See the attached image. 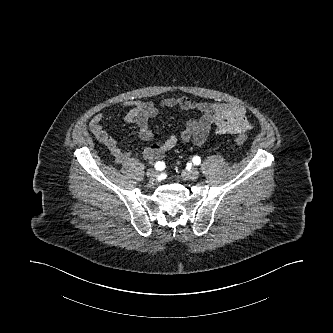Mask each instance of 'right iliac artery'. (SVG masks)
<instances>
[{
    "label": "right iliac artery",
    "instance_id": "82829eb1",
    "mask_svg": "<svg viewBox=\"0 0 333 333\" xmlns=\"http://www.w3.org/2000/svg\"><path fill=\"white\" fill-rule=\"evenodd\" d=\"M154 167H155L156 170H162L164 168V163L163 162H157Z\"/></svg>",
    "mask_w": 333,
    "mask_h": 333
}]
</instances>
